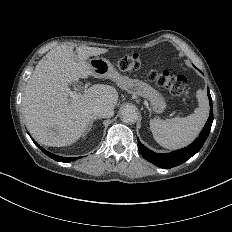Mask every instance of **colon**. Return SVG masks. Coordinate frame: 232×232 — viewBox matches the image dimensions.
Wrapping results in <instances>:
<instances>
[{
	"instance_id": "5ec220e1",
	"label": "colon",
	"mask_w": 232,
	"mask_h": 232,
	"mask_svg": "<svg viewBox=\"0 0 232 232\" xmlns=\"http://www.w3.org/2000/svg\"><path fill=\"white\" fill-rule=\"evenodd\" d=\"M140 59L136 55L131 56H117L115 65L124 70L125 73H142V66ZM149 77L156 81L164 91H171L174 94H181L183 97H189L193 93V88L190 81L185 79L179 74L166 73L160 69V66H154L149 72Z\"/></svg>"
}]
</instances>
